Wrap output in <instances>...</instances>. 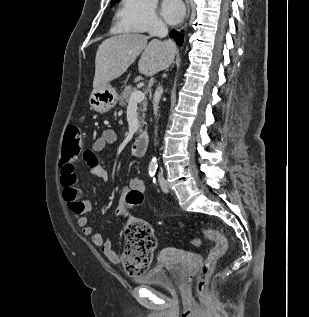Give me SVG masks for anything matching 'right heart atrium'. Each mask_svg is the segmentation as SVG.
Masks as SVG:
<instances>
[{
    "instance_id": "right-heart-atrium-1",
    "label": "right heart atrium",
    "mask_w": 309,
    "mask_h": 317,
    "mask_svg": "<svg viewBox=\"0 0 309 317\" xmlns=\"http://www.w3.org/2000/svg\"><path fill=\"white\" fill-rule=\"evenodd\" d=\"M118 19L121 27L129 32L150 33L164 28L156 0H123Z\"/></svg>"
}]
</instances>
